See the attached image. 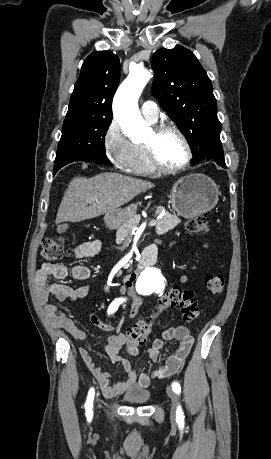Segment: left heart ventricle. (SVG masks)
Masks as SVG:
<instances>
[{
  "instance_id": "left-heart-ventricle-1",
  "label": "left heart ventricle",
  "mask_w": 271,
  "mask_h": 459,
  "mask_svg": "<svg viewBox=\"0 0 271 459\" xmlns=\"http://www.w3.org/2000/svg\"><path fill=\"white\" fill-rule=\"evenodd\" d=\"M146 141H154L153 131L149 134ZM156 145L161 159L166 164H179L187 156L186 145L176 132H166L156 141Z\"/></svg>"
}]
</instances>
